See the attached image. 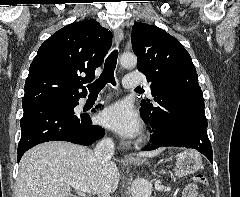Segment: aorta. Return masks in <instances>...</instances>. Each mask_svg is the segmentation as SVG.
Instances as JSON below:
<instances>
[{
	"instance_id": "1",
	"label": "aorta",
	"mask_w": 240,
	"mask_h": 197,
	"mask_svg": "<svg viewBox=\"0 0 240 197\" xmlns=\"http://www.w3.org/2000/svg\"><path fill=\"white\" fill-rule=\"evenodd\" d=\"M120 63L123 67L129 68L134 67L137 64V58L134 54L131 53H124L120 58ZM142 190L136 193V197L145 196V191L148 189V184L145 181H141L139 184Z\"/></svg>"
}]
</instances>
